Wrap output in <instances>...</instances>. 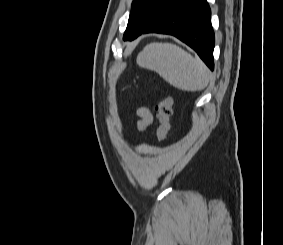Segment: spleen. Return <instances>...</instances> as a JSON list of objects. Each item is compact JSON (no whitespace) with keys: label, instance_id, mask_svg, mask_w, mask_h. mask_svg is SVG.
Segmentation results:
<instances>
[{"label":"spleen","instance_id":"1","mask_svg":"<svg viewBox=\"0 0 283 245\" xmlns=\"http://www.w3.org/2000/svg\"><path fill=\"white\" fill-rule=\"evenodd\" d=\"M137 64L158 73L183 91H200L209 83L205 64L172 43H150L137 56Z\"/></svg>","mask_w":283,"mask_h":245}]
</instances>
